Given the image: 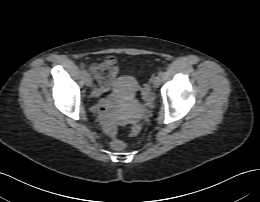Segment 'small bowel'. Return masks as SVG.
Masks as SVG:
<instances>
[{
	"label": "small bowel",
	"instance_id": "small-bowel-1",
	"mask_svg": "<svg viewBox=\"0 0 260 202\" xmlns=\"http://www.w3.org/2000/svg\"><path fill=\"white\" fill-rule=\"evenodd\" d=\"M113 88V84L101 83L93 92V96L98 99L94 105V110L98 116L99 122L109 137H114L119 127L124 126L128 122V116L122 111L113 112L112 105L116 102L114 96H105V94Z\"/></svg>",
	"mask_w": 260,
	"mask_h": 202
}]
</instances>
